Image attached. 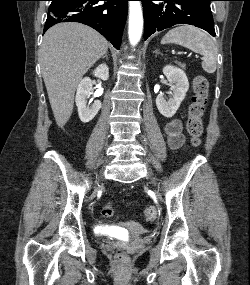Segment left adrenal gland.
I'll return each instance as SVG.
<instances>
[{"instance_id": "obj_1", "label": "left adrenal gland", "mask_w": 250, "mask_h": 285, "mask_svg": "<svg viewBox=\"0 0 250 285\" xmlns=\"http://www.w3.org/2000/svg\"><path fill=\"white\" fill-rule=\"evenodd\" d=\"M154 53L157 54V55L161 54L159 50H155Z\"/></svg>"}]
</instances>
